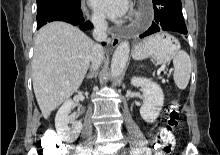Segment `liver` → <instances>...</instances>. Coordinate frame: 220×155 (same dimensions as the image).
Instances as JSON below:
<instances>
[{
  "instance_id": "liver-1",
  "label": "liver",
  "mask_w": 220,
  "mask_h": 155,
  "mask_svg": "<svg viewBox=\"0 0 220 155\" xmlns=\"http://www.w3.org/2000/svg\"><path fill=\"white\" fill-rule=\"evenodd\" d=\"M94 45L82 31L65 22H51L39 30L34 44L32 81L45 119L82 84Z\"/></svg>"
}]
</instances>
